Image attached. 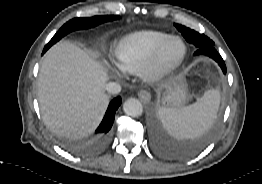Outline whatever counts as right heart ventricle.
Segmentation results:
<instances>
[{
  "label": "right heart ventricle",
  "mask_w": 262,
  "mask_h": 184,
  "mask_svg": "<svg viewBox=\"0 0 262 184\" xmlns=\"http://www.w3.org/2000/svg\"><path fill=\"white\" fill-rule=\"evenodd\" d=\"M170 35L160 31L142 30L122 37L115 47L118 66L125 72L139 71L155 50Z\"/></svg>",
  "instance_id": "right-heart-ventricle-1"
}]
</instances>
